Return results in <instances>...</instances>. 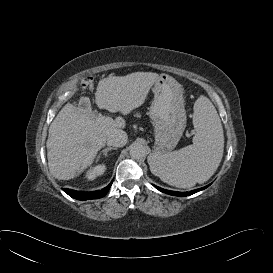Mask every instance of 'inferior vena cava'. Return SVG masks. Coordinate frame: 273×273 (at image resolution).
<instances>
[{
	"label": "inferior vena cava",
	"instance_id": "obj_1",
	"mask_svg": "<svg viewBox=\"0 0 273 273\" xmlns=\"http://www.w3.org/2000/svg\"><path fill=\"white\" fill-rule=\"evenodd\" d=\"M128 136L125 131L115 129L107 136V144L114 147H122L127 143Z\"/></svg>",
	"mask_w": 273,
	"mask_h": 273
}]
</instances>
